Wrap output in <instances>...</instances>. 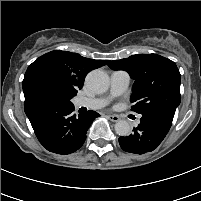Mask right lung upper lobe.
<instances>
[{
  "label": "right lung upper lobe",
  "mask_w": 201,
  "mask_h": 201,
  "mask_svg": "<svg viewBox=\"0 0 201 201\" xmlns=\"http://www.w3.org/2000/svg\"><path fill=\"white\" fill-rule=\"evenodd\" d=\"M107 63L77 53L55 50L37 58L29 65L22 82L25 102L46 98L44 89L55 86L65 99H71L81 89L88 72Z\"/></svg>",
  "instance_id": "1"
}]
</instances>
